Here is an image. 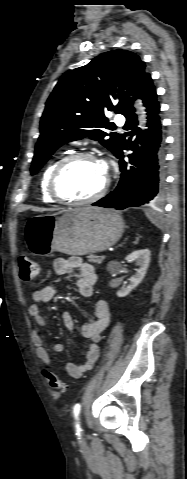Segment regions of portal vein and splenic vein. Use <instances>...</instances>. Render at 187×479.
I'll return each instance as SVG.
<instances>
[{
    "label": "portal vein and splenic vein",
    "instance_id": "obj_1",
    "mask_svg": "<svg viewBox=\"0 0 187 479\" xmlns=\"http://www.w3.org/2000/svg\"><path fill=\"white\" fill-rule=\"evenodd\" d=\"M110 251H111V249H110ZM101 258H102V259H105V256H101Z\"/></svg>",
    "mask_w": 187,
    "mask_h": 479
}]
</instances>
